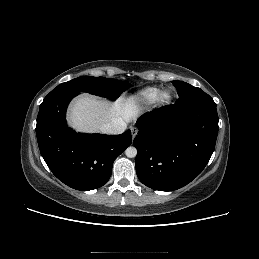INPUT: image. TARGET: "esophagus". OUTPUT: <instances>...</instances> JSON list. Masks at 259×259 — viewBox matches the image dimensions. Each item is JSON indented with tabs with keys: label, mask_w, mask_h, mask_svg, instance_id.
<instances>
[{
	"label": "esophagus",
	"mask_w": 259,
	"mask_h": 259,
	"mask_svg": "<svg viewBox=\"0 0 259 259\" xmlns=\"http://www.w3.org/2000/svg\"><path fill=\"white\" fill-rule=\"evenodd\" d=\"M131 133H132V138H135V136L137 135L138 133V129L136 127H132L131 128Z\"/></svg>",
	"instance_id": "1"
}]
</instances>
